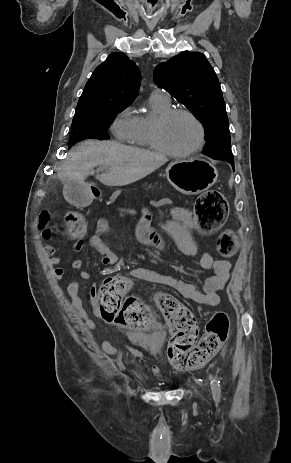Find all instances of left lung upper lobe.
<instances>
[{
	"label": "left lung upper lobe",
	"mask_w": 291,
	"mask_h": 463,
	"mask_svg": "<svg viewBox=\"0 0 291 463\" xmlns=\"http://www.w3.org/2000/svg\"><path fill=\"white\" fill-rule=\"evenodd\" d=\"M154 82L200 120L207 142L203 154L212 159H234L220 83L205 55L182 52L160 63L154 71Z\"/></svg>",
	"instance_id": "1"
}]
</instances>
